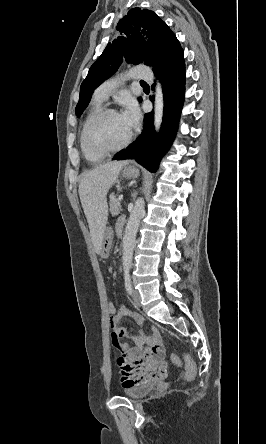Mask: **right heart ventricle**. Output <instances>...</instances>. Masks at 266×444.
Returning a JSON list of instances; mask_svg holds the SVG:
<instances>
[{"label": "right heart ventricle", "instance_id": "obj_1", "mask_svg": "<svg viewBox=\"0 0 266 444\" xmlns=\"http://www.w3.org/2000/svg\"><path fill=\"white\" fill-rule=\"evenodd\" d=\"M102 102L103 101H101L97 98H95L93 100L92 105L86 114V117L84 119V122H83V125L81 128V132H80L79 142H80V147H81L82 153L86 159L91 160V161H99L105 157V155L91 153L90 151L87 150V148L85 147V144H84V132H85L86 126L89 123V121L91 120V118L103 108Z\"/></svg>", "mask_w": 266, "mask_h": 444}]
</instances>
